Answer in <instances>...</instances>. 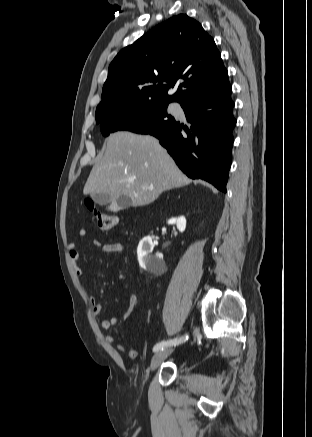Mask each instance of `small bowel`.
I'll return each instance as SVG.
<instances>
[{
  "label": "small bowel",
  "mask_w": 312,
  "mask_h": 437,
  "mask_svg": "<svg viewBox=\"0 0 312 437\" xmlns=\"http://www.w3.org/2000/svg\"><path fill=\"white\" fill-rule=\"evenodd\" d=\"M86 235V231L84 229H80L77 232V236L78 237H84ZM94 244L96 246L101 247L102 252L105 254H112V253H120L123 251V244L121 242H107V243H102L99 240H95ZM68 251H69V257L70 260L72 262V265L76 271V273L79 276H82V270L80 269L79 265H78V259H79V252L76 248V243L75 242H70L68 244ZM140 300L139 297L136 294H131L130 296V301H129V306L128 308L125 310V312L120 316V317H112V318H106L103 319L100 323V328L102 331H108L111 329V327L119 324L120 322L126 320L132 313V311L134 310V308L139 304ZM90 303L92 305V310L93 313L95 315H99L102 310H103V305L97 301L95 296H90ZM106 341L109 344H114L115 343V338L113 335H107L106 336ZM116 348L127 354L128 357L130 358H135L136 357V351L134 349H127L124 345L122 344H117Z\"/></svg>",
  "instance_id": "c3829d8e"
}]
</instances>
